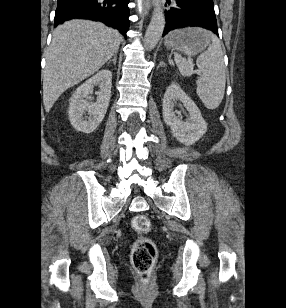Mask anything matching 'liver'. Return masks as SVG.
I'll use <instances>...</instances> for the list:
<instances>
[{"mask_svg": "<svg viewBox=\"0 0 286 308\" xmlns=\"http://www.w3.org/2000/svg\"><path fill=\"white\" fill-rule=\"evenodd\" d=\"M122 35L102 23L75 19L52 33L43 77L48 112L60 95L97 72L118 51Z\"/></svg>", "mask_w": 286, "mask_h": 308, "instance_id": "6515ba94", "label": "liver"}]
</instances>
